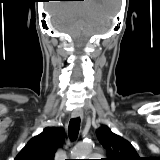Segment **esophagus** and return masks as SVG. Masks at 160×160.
<instances>
[{"instance_id": "1", "label": "esophagus", "mask_w": 160, "mask_h": 160, "mask_svg": "<svg viewBox=\"0 0 160 160\" xmlns=\"http://www.w3.org/2000/svg\"><path fill=\"white\" fill-rule=\"evenodd\" d=\"M83 113L81 110L77 109L72 112V118H82Z\"/></svg>"}]
</instances>
